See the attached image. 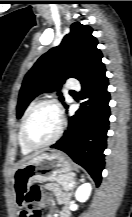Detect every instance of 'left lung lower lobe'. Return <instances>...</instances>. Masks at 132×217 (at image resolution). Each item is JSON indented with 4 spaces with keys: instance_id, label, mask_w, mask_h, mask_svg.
Here are the masks:
<instances>
[{
    "instance_id": "1",
    "label": "left lung lower lobe",
    "mask_w": 132,
    "mask_h": 217,
    "mask_svg": "<svg viewBox=\"0 0 132 217\" xmlns=\"http://www.w3.org/2000/svg\"><path fill=\"white\" fill-rule=\"evenodd\" d=\"M102 63L87 79L81 82V103L76 114L69 118L63 137L51 148L67 153L77 164L84 167L97 185L102 178L107 131L109 129L110 94L108 79Z\"/></svg>"
}]
</instances>
